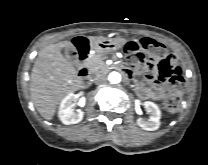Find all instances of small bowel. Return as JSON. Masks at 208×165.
Segmentation results:
<instances>
[{
    "mask_svg": "<svg viewBox=\"0 0 208 165\" xmlns=\"http://www.w3.org/2000/svg\"><path fill=\"white\" fill-rule=\"evenodd\" d=\"M140 75L152 87L137 84L136 90L142 98L151 100L168 98L182 90L187 82L180 56L176 52H167L157 66H145Z\"/></svg>",
    "mask_w": 208,
    "mask_h": 165,
    "instance_id": "c3829d8e",
    "label": "small bowel"
}]
</instances>
